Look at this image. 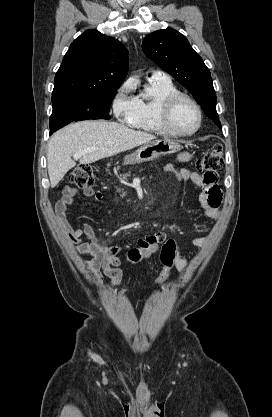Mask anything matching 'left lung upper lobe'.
I'll use <instances>...</instances> for the list:
<instances>
[{
  "label": "left lung upper lobe",
  "mask_w": 272,
  "mask_h": 417,
  "mask_svg": "<svg viewBox=\"0 0 272 417\" xmlns=\"http://www.w3.org/2000/svg\"><path fill=\"white\" fill-rule=\"evenodd\" d=\"M142 49L148 58L186 87L204 113L221 128L210 71L187 38L174 29L158 30L145 37Z\"/></svg>",
  "instance_id": "1"
}]
</instances>
